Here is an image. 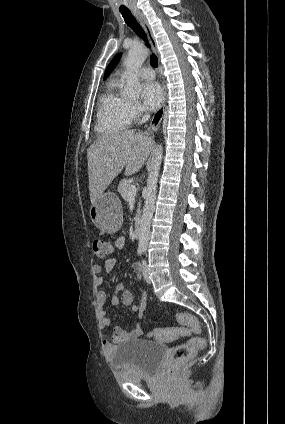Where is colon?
<instances>
[{
    "label": "colon",
    "instance_id": "obj_1",
    "mask_svg": "<svg viewBox=\"0 0 285 424\" xmlns=\"http://www.w3.org/2000/svg\"><path fill=\"white\" fill-rule=\"evenodd\" d=\"M94 254L98 258H106L112 253V246L101 239H95L92 243ZM178 322L198 333L200 331V323L194 316L185 313H177ZM186 328H159L153 330L149 336L159 341H172L185 335ZM205 340L200 336L190 338L185 343L175 346L169 356V363L183 360L193 356L196 352L203 349Z\"/></svg>",
    "mask_w": 285,
    "mask_h": 424
}]
</instances>
